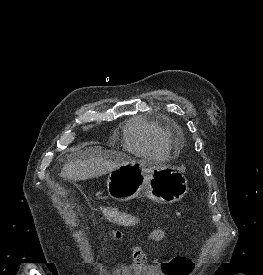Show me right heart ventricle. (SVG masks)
Wrapping results in <instances>:
<instances>
[{
  "label": "right heart ventricle",
  "instance_id": "obj_1",
  "mask_svg": "<svg viewBox=\"0 0 263 275\" xmlns=\"http://www.w3.org/2000/svg\"><path fill=\"white\" fill-rule=\"evenodd\" d=\"M124 145L129 151L144 155H163L168 151L166 133L147 119H134L127 124Z\"/></svg>",
  "mask_w": 263,
  "mask_h": 275
}]
</instances>
